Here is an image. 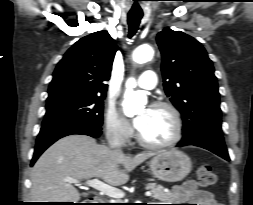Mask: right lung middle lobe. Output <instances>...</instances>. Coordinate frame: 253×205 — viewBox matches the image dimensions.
Wrapping results in <instances>:
<instances>
[{
    "label": "right lung middle lobe",
    "mask_w": 253,
    "mask_h": 205,
    "mask_svg": "<svg viewBox=\"0 0 253 205\" xmlns=\"http://www.w3.org/2000/svg\"><path fill=\"white\" fill-rule=\"evenodd\" d=\"M104 96L73 95L47 101L42 126L77 124L101 127Z\"/></svg>",
    "instance_id": "right-lung-middle-lobe-1"
}]
</instances>
